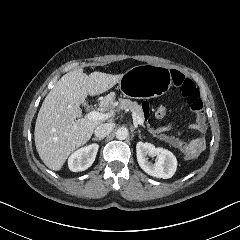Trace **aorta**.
Listing matches in <instances>:
<instances>
[{"label":"aorta","instance_id":"aorta-1","mask_svg":"<svg viewBox=\"0 0 240 240\" xmlns=\"http://www.w3.org/2000/svg\"><path fill=\"white\" fill-rule=\"evenodd\" d=\"M129 136V131L126 127H121L116 131V138L118 140H125Z\"/></svg>","mask_w":240,"mask_h":240}]
</instances>
